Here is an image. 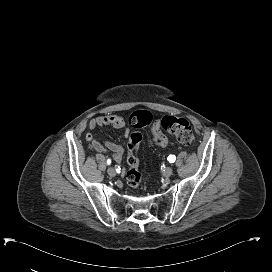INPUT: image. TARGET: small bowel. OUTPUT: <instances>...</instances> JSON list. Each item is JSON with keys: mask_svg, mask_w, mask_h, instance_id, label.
Listing matches in <instances>:
<instances>
[{"mask_svg": "<svg viewBox=\"0 0 272 272\" xmlns=\"http://www.w3.org/2000/svg\"><path fill=\"white\" fill-rule=\"evenodd\" d=\"M110 126L114 129L121 130L125 136H129V129L126 126V122L123 117L115 114L101 115L92 119L89 123V129L93 130L96 127ZM152 141L161 146L166 147L168 145V138L163 133L159 121H155L151 125ZM86 140L90 143L91 147L97 152H111L115 162H121L124 154V148L112 141L101 142L94 137L92 132H88L85 136ZM137 158V164H139V158L137 155V149L129 150ZM122 173H126V169L122 168Z\"/></svg>", "mask_w": 272, "mask_h": 272, "instance_id": "small-bowel-1", "label": "small bowel"}]
</instances>
